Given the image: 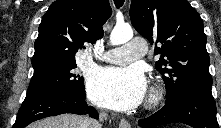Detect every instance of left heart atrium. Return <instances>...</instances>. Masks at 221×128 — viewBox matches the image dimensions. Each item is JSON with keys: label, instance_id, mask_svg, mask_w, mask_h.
I'll return each mask as SVG.
<instances>
[{"label": "left heart atrium", "instance_id": "obj_1", "mask_svg": "<svg viewBox=\"0 0 221 128\" xmlns=\"http://www.w3.org/2000/svg\"><path fill=\"white\" fill-rule=\"evenodd\" d=\"M87 88L95 104L126 111L143 101L146 79L139 66L101 68L88 78Z\"/></svg>", "mask_w": 221, "mask_h": 128}]
</instances>
